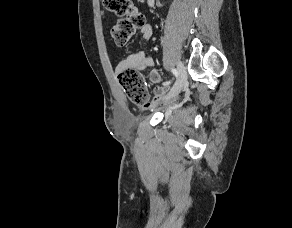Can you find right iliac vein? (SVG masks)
I'll use <instances>...</instances> for the list:
<instances>
[{"label":"right iliac vein","mask_w":292,"mask_h":228,"mask_svg":"<svg viewBox=\"0 0 292 228\" xmlns=\"http://www.w3.org/2000/svg\"><path fill=\"white\" fill-rule=\"evenodd\" d=\"M177 66L179 78L171 92L168 94L167 98H172L176 96L187 84V73L183 63L181 61H178Z\"/></svg>","instance_id":"right-iliac-vein-1"}]
</instances>
